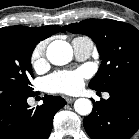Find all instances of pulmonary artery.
Returning a JSON list of instances; mask_svg holds the SVG:
<instances>
[{"mask_svg":"<svg viewBox=\"0 0 139 139\" xmlns=\"http://www.w3.org/2000/svg\"><path fill=\"white\" fill-rule=\"evenodd\" d=\"M72 47L75 57L78 60L83 61L90 57L93 50V42L88 37H76L72 40ZM104 98H109V94L106 93Z\"/></svg>","mask_w":139,"mask_h":139,"instance_id":"1","label":"pulmonary artery"}]
</instances>
